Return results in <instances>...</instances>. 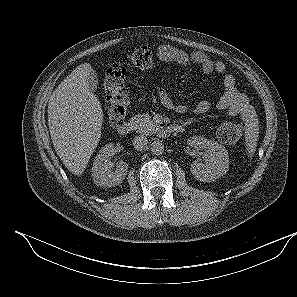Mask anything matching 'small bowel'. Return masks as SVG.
Here are the masks:
<instances>
[{
	"mask_svg": "<svg viewBox=\"0 0 297 297\" xmlns=\"http://www.w3.org/2000/svg\"><path fill=\"white\" fill-rule=\"evenodd\" d=\"M157 56L165 62H173L180 66L191 64L198 66L205 74L218 73L223 75L224 92L216 102L203 100L193 107L179 105L173 102L165 89L158 91L161 104L177 113L201 115L214 109L224 111L232 116L242 115L248 108V99L240 92L232 75L226 73V65L221 61H214L203 52L188 53L170 45H160L156 49Z\"/></svg>",
	"mask_w": 297,
	"mask_h": 297,
	"instance_id": "small-bowel-1",
	"label": "small bowel"
}]
</instances>
